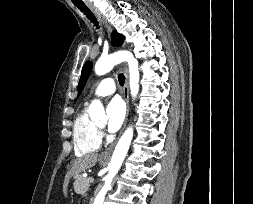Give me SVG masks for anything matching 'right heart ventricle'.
<instances>
[{
	"label": "right heart ventricle",
	"mask_w": 253,
	"mask_h": 204,
	"mask_svg": "<svg viewBox=\"0 0 253 204\" xmlns=\"http://www.w3.org/2000/svg\"><path fill=\"white\" fill-rule=\"evenodd\" d=\"M73 144L77 156H84L96 152L101 144L96 124L91 121L82 110L76 117L73 125Z\"/></svg>",
	"instance_id": "e07e8e85"
}]
</instances>
